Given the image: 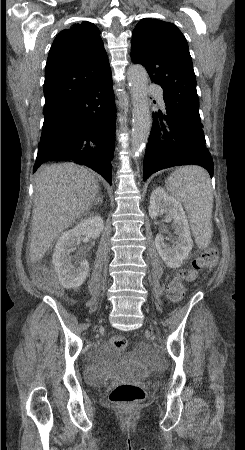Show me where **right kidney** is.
Returning <instances> with one entry per match:
<instances>
[{
	"instance_id": "1",
	"label": "right kidney",
	"mask_w": 245,
	"mask_h": 450,
	"mask_svg": "<svg viewBox=\"0 0 245 450\" xmlns=\"http://www.w3.org/2000/svg\"><path fill=\"white\" fill-rule=\"evenodd\" d=\"M104 228L103 219L96 215L82 220L73 229L64 232L55 245L52 263L58 275L59 282L64 288H79L86 280L89 263L86 259H79L72 263L71 252L80 244L81 236L96 239Z\"/></svg>"
}]
</instances>
